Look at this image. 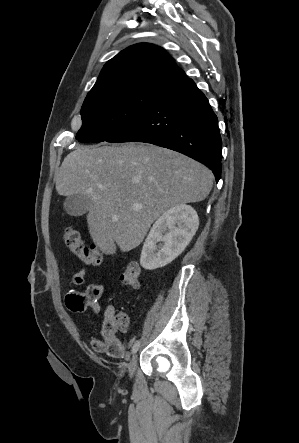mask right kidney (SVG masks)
Wrapping results in <instances>:
<instances>
[{
	"mask_svg": "<svg viewBox=\"0 0 299 443\" xmlns=\"http://www.w3.org/2000/svg\"><path fill=\"white\" fill-rule=\"evenodd\" d=\"M198 226L197 212L189 205H177L165 211L144 242L140 257L142 267L154 270L171 263L190 243Z\"/></svg>",
	"mask_w": 299,
	"mask_h": 443,
	"instance_id": "ca27d5eb",
	"label": "right kidney"
}]
</instances>
